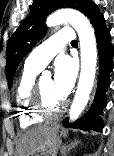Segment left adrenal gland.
Wrapping results in <instances>:
<instances>
[{
  "label": "left adrenal gland",
  "mask_w": 114,
  "mask_h": 156,
  "mask_svg": "<svg viewBox=\"0 0 114 156\" xmlns=\"http://www.w3.org/2000/svg\"><path fill=\"white\" fill-rule=\"evenodd\" d=\"M78 143H79V141H74V142L70 143L69 145L63 147V149L61 150L62 156H67V153H68L72 148H74Z\"/></svg>",
  "instance_id": "1"
}]
</instances>
